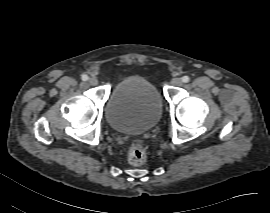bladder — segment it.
<instances>
[{
	"label": "bladder",
	"instance_id": "31cf9c89",
	"mask_svg": "<svg viewBox=\"0 0 270 213\" xmlns=\"http://www.w3.org/2000/svg\"><path fill=\"white\" fill-rule=\"evenodd\" d=\"M163 101L154 84L142 75L119 81L109 92L105 117L110 127L123 134H140L154 128Z\"/></svg>",
	"mask_w": 270,
	"mask_h": 213
}]
</instances>
